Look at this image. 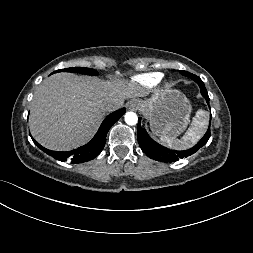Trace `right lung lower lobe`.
I'll use <instances>...</instances> for the list:
<instances>
[{
  "label": "right lung lower lobe",
  "instance_id": "1",
  "mask_svg": "<svg viewBox=\"0 0 253 253\" xmlns=\"http://www.w3.org/2000/svg\"><path fill=\"white\" fill-rule=\"evenodd\" d=\"M124 113H125V108H122L108 115L105 118V120L102 122L94 138L86 145L72 151H68V152L51 151L42 147L33 138L32 140L37 145V147H39L42 151L54 157L55 159H58L60 161L70 160L71 163L87 162L89 160L94 159L101 153V151L103 150L105 146L106 135L109 129L116 121L119 120L121 116H123Z\"/></svg>",
  "mask_w": 253,
  "mask_h": 253
}]
</instances>
